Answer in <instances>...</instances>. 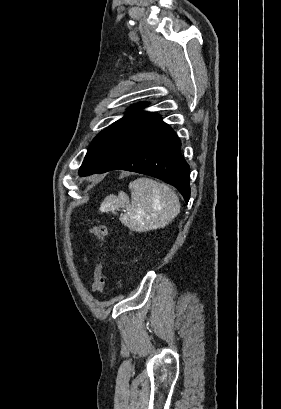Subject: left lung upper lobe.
I'll use <instances>...</instances> for the list:
<instances>
[{"instance_id": "left-lung-upper-lobe-1", "label": "left lung upper lobe", "mask_w": 281, "mask_h": 409, "mask_svg": "<svg viewBox=\"0 0 281 409\" xmlns=\"http://www.w3.org/2000/svg\"><path fill=\"white\" fill-rule=\"evenodd\" d=\"M145 106V103L133 105L129 108L130 115L116 121L93 139L79 169L80 176L96 173L113 157L166 125L156 113L141 111Z\"/></svg>"}]
</instances>
